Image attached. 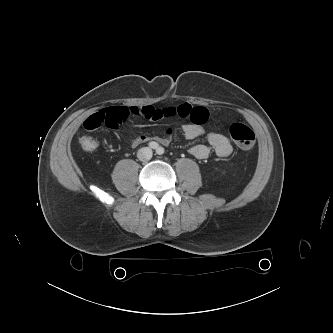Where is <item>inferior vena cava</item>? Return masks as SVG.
<instances>
[{
    "label": "inferior vena cava",
    "mask_w": 333,
    "mask_h": 333,
    "mask_svg": "<svg viewBox=\"0 0 333 333\" xmlns=\"http://www.w3.org/2000/svg\"><path fill=\"white\" fill-rule=\"evenodd\" d=\"M153 151L149 147L139 149L137 157L140 161H149L152 158Z\"/></svg>",
    "instance_id": "602c4592"
}]
</instances>
